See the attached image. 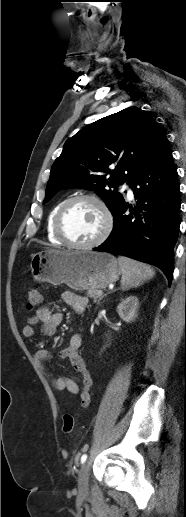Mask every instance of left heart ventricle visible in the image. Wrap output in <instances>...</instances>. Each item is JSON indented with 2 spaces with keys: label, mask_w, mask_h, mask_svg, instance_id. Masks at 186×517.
<instances>
[{
  "label": "left heart ventricle",
  "mask_w": 186,
  "mask_h": 517,
  "mask_svg": "<svg viewBox=\"0 0 186 517\" xmlns=\"http://www.w3.org/2000/svg\"><path fill=\"white\" fill-rule=\"evenodd\" d=\"M103 224L104 218L99 207L91 201H80L66 213L63 229L70 240L88 243L100 234Z\"/></svg>",
  "instance_id": "obj_1"
}]
</instances>
